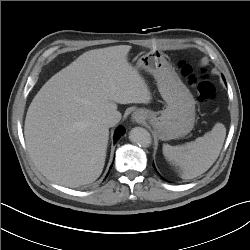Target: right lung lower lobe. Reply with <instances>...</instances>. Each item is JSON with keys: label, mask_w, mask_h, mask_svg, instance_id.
Returning <instances> with one entry per match:
<instances>
[{"label": "right lung lower lobe", "mask_w": 250, "mask_h": 250, "mask_svg": "<svg viewBox=\"0 0 250 250\" xmlns=\"http://www.w3.org/2000/svg\"><path fill=\"white\" fill-rule=\"evenodd\" d=\"M125 133V129L122 126H119L114 134V143Z\"/></svg>", "instance_id": "98d812e1"}]
</instances>
